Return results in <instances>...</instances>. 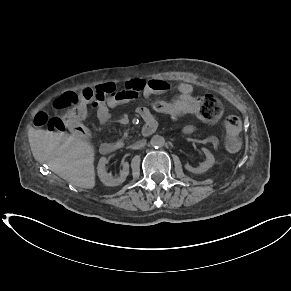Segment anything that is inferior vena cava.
<instances>
[{
    "label": "inferior vena cava",
    "mask_w": 291,
    "mask_h": 291,
    "mask_svg": "<svg viewBox=\"0 0 291 291\" xmlns=\"http://www.w3.org/2000/svg\"><path fill=\"white\" fill-rule=\"evenodd\" d=\"M146 144V140H139V141H137L136 143H134L132 146H131V148L132 149H140V148H142L144 145Z\"/></svg>",
    "instance_id": "602c4592"
}]
</instances>
